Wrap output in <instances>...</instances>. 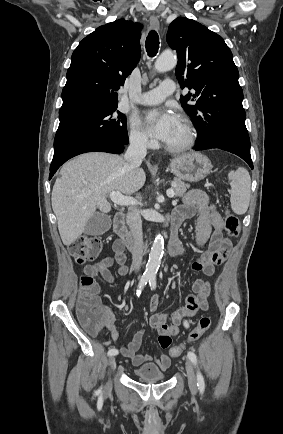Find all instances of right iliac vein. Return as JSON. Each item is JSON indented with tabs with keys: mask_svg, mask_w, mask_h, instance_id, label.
<instances>
[{
	"mask_svg": "<svg viewBox=\"0 0 283 434\" xmlns=\"http://www.w3.org/2000/svg\"><path fill=\"white\" fill-rule=\"evenodd\" d=\"M108 364H109L110 370L113 371L115 369V366H116L115 358L113 356H111L109 358ZM110 389H111V380H109L106 384V391H109Z\"/></svg>",
	"mask_w": 283,
	"mask_h": 434,
	"instance_id": "obj_1",
	"label": "right iliac vein"
}]
</instances>
